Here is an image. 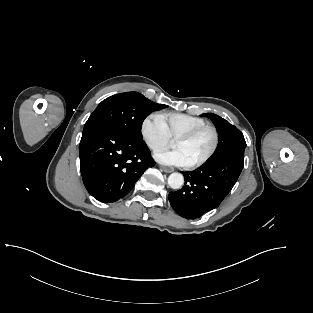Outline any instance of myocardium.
I'll list each match as a JSON object with an SVG mask.
<instances>
[{
  "label": "myocardium",
  "mask_w": 313,
  "mask_h": 313,
  "mask_svg": "<svg viewBox=\"0 0 313 313\" xmlns=\"http://www.w3.org/2000/svg\"><path fill=\"white\" fill-rule=\"evenodd\" d=\"M209 130L212 132L213 134V145L212 148L210 149V151L200 160L191 163L189 166L191 168H198L203 166L204 164H206L207 162H209L213 156L215 155V153L217 152V149L219 147V142H220V136H219V131L218 129L212 125V124H204L201 126H198L180 136H178L177 138H175V142H179V141H190L193 138H195L197 135H199L200 133Z\"/></svg>",
  "instance_id": "myocardium-1"
}]
</instances>
